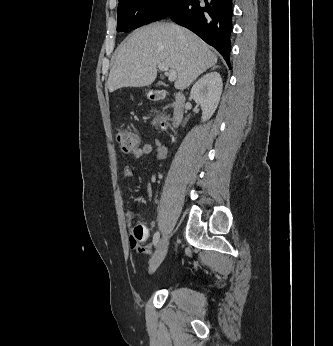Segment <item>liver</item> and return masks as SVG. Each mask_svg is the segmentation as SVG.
I'll list each match as a JSON object with an SVG mask.
<instances>
[{"label": "liver", "instance_id": "obj_1", "mask_svg": "<svg viewBox=\"0 0 333 346\" xmlns=\"http://www.w3.org/2000/svg\"><path fill=\"white\" fill-rule=\"evenodd\" d=\"M164 63L177 73L175 88L186 89L217 63V55L197 35L170 23H154L129 35L118 48L107 88L144 87L157 76Z\"/></svg>", "mask_w": 333, "mask_h": 346}]
</instances>
